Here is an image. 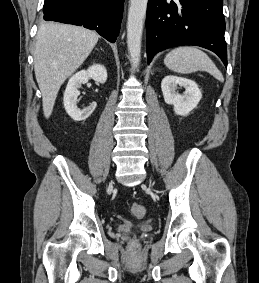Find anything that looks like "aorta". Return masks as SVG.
I'll list each match as a JSON object with an SVG mask.
<instances>
[{
    "label": "aorta",
    "mask_w": 259,
    "mask_h": 283,
    "mask_svg": "<svg viewBox=\"0 0 259 283\" xmlns=\"http://www.w3.org/2000/svg\"><path fill=\"white\" fill-rule=\"evenodd\" d=\"M148 0H130L127 20V46L133 67L140 63L141 39Z\"/></svg>",
    "instance_id": "762f6f07"
}]
</instances>
